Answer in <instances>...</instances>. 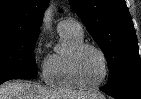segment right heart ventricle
Here are the masks:
<instances>
[{
	"label": "right heart ventricle",
	"instance_id": "1",
	"mask_svg": "<svg viewBox=\"0 0 141 99\" xmlns=\"http://www.w3.org/2000/svg\"><path fill=\"white\" fill-rule=\"evenodd\" d=\"M64 49L51 54L44 65L45 82L59 90H74L81 86L75 81L70 64L72 51L83 42V36L69 33L60 34Z\"/></svg>",
	"mask_w": 141,
	"mask_h": 99
}]
</instances>
